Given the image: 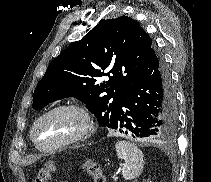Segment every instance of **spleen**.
Returning <instances> with one entry per match:
<instances>
[{
    "label": "spleen",
    "mask_w": 211,
    "mask_h": 182,
    "mask_svg": "<svg viewBox=\"0 0 211 182\" xmlns=\"http://www.w3.org/2000/svg\"><path fill=\"white\" fill-rule=\"evenodd\" d=\"M119 159L124 160L122 176L125 180H132L139 177L143 171L144 155L133 143L118 141L115 145Z\"/></svg>",
    "instance_id": "obj_1"
}]
</instances>
